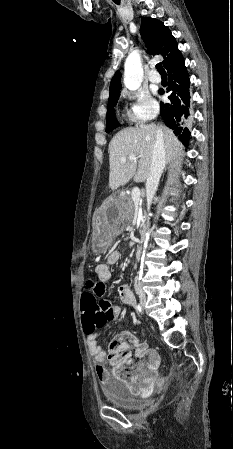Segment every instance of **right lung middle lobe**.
I'll use <instances>...</instances> for the list:
<instances>
[{
	"label": "right lung middle lobe",
	"mask_w": 233,
	"mask_h": 449,
	"mask_svg": "<svg viewBox=\"0 0 233 449\" xmlns=\"http://www.w3.org/2000/svg\"><path fill=\"white\" fill-rule=\"evenodd\" d=\"M120 94L109 97L107 117H106V132L112 131L114 128L119 126V123L115 117L114 107L117 104Z\"/></svg>",
	"instance_id": "right-lung-middle-lobe-1"
}]
</instances>
